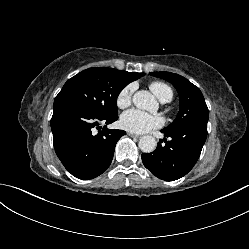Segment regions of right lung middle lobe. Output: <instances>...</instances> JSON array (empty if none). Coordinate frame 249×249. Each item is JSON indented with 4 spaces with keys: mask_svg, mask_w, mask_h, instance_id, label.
<instances>
[{
    "mask_svg": "<svg viewBox=\"0 0 249 249\" xmlns=\"http://www.w3.org/2000/svg\"><path fill=\"white\" fill-rule=\"evenodd\" d=\"M128 83L119 70L89 68L69 79L55 100H69L95 115L111 117L118 115L117 97Z\"/></svg>",
    "mask_w": 249,
    "mask_h": 249,
    "instance_id": "right-lung-middle-lobe-1",
    "label": "right lung middle lobe"
}]
</instances>
